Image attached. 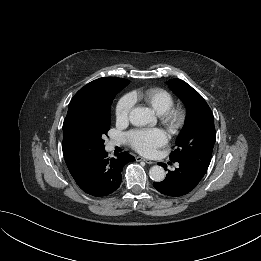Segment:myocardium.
Wrapping results in <instances>:
<instances>
[{"instance_id":"myocardium-1","label":"myocardium","mask_w":261,"mask_h":261,"mask_svg":"<svg viewBox=\"0 0 261 261\" xmlns=\"http://www.w3.org/2000/svg\"><path fill=\"white\" fill-rule=\"evenodd\" d=\"M159 119L171 132H177L186 121V111L182 106L172 105L159 115Z\"/></svg>"}]
</instances>
